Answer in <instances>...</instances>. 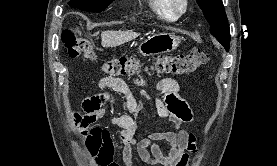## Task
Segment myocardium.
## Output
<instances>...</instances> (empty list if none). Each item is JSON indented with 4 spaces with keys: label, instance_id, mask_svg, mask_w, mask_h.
<instances>
[{
    "label": "myocardium",
    "instance_id": "1",
    "mask_svg": "<svg viewBox=\"0 0 277 166\" xmlns=\"http://www.w3.org/2000/svg\"><path fill=\"white\" fill-rule=\"evenodd\" d=\"M167 4L176 16H180L187 11L189 0H167Z\"/></svg>",
    "mask_w": 277,
    "mask_h": 166
}]
</instances>
